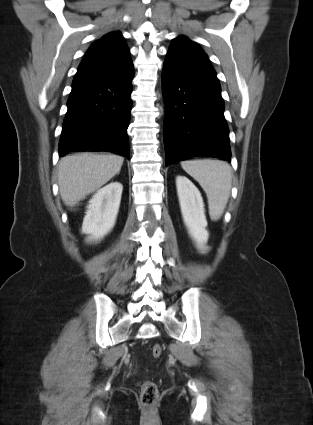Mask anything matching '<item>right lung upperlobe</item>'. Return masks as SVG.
I'll list each match as a JSON object with an SVG mask.
<instances>
[{"label":"right lung upper lobe","mask_w":313,"mask_h":425,"mask_svg":"<svg viewBox=\"0 0 313 425\" xmlns=\"http://www.w3.org/2000/svg\"><path fill=\"white\" fill-rule=\"evenodd\" d=\"M128 46L118 31H112L95 41L86 52L82 62H130Z\"/></svg>","instance_id":"right-lung-upper-lobe-1"}]
</instances>
